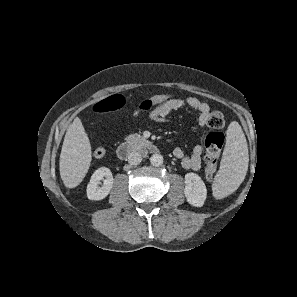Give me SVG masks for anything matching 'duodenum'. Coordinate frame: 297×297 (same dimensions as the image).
I'll return each mask as SVG.
<instances>
[{
  "mask_svg": "<svg viewBox=\"0 0 297 297\" xmlns=\"http://www.w3.org/2000/svg\"><path fill=\"white\" fill-rule=\"evenodd\" d=\"M137 150L146 153H155L157 151V147L148 140H142L137 144L132 142H123L117 148V155L120 160L124 161Z\"/></svg>",
  "mask_w": 297,
  "mask_h": 297,
  "instance_id": "410a0bca",
  "label": "duodenum"
}]
</instances>
